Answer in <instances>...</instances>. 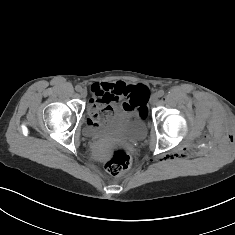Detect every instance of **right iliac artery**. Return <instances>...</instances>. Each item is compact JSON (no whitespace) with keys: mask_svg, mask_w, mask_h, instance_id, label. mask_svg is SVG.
Masks as SVG:
<instances>
[{"mask_svg":"<svg viewBox=\"0 0 235 235\" xmlns=\"http://www.w3.org/2000/svg\"><path fill=\"white\" fill-rule=\"evenodd\" d=\"M81 89H82V88H81V86H80V85H77V86L75 87V90H76V91H78V92H80V91H81Z\"/></svg>","mask_w":235,"mask_h":235,"instance_id":"obj_1","label":"right iliac artery"}]
</instances>
